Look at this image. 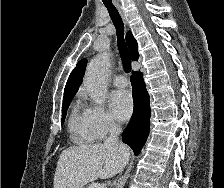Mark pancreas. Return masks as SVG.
I'll return each mask as SVG.
<instances>
[{"instance_id": "1", "label": "pancreas", "mask_w": 224, "mask_h": 188, "mask_svg": "<svg viewBox=\"0 0 224 188\" xmlns=\"http://www.w3.org/2000/svg\"><path fill=\"white\" fill-rule=\"evenodd\" d=\"M91 185H92V184L88 185L86 188H91Z\"/></svg>"}]
</instances>
